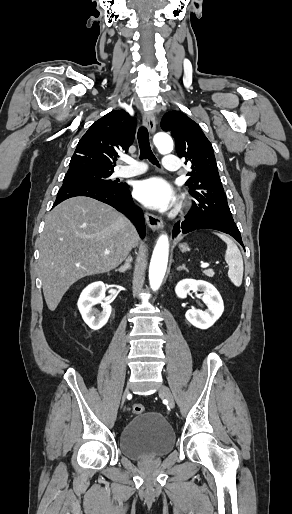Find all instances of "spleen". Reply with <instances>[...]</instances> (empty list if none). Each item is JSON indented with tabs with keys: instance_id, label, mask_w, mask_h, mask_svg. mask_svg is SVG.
I'll list each match as a JSON object with an SVG mask.
<instances>
[{
	"instance_id": "spleen-1",
	"label": "spleen",
	"mask_w": 292,
	"mask_h": 514,
	"mask_svg": "<svg viewBox=\"0 0 292 514\" xmlns=\"http://www.w3.org/2000/svg\"><path fill=\"white\" fill-rule=\"evenodd\" d=\"M216 236H219V238H221V240L227 244L225 262H227L229 266L228 278H230L234 286H241L244 272L241 252L238 250L236 244H234V242H232L228 236H225V234H216Z\"/></svg>"
}]
</instances>
